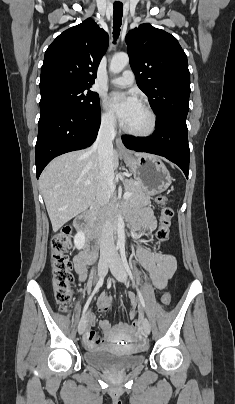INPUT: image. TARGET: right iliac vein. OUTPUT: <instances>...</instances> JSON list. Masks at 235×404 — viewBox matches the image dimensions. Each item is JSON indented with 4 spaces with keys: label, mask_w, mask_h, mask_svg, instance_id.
Wrapping results in <instances>:
<instances>
[{
    "label": "right iliac vein",
    "mask_w": 235,
    "mask_h": 404,
    "mask_svg": "<svg viewBox=\"0 0 235 404\" xmlns=\"http://www.w3.org/2000/svg\"><path fill=\"white\" fill-rule=\"evenodd\" d=\"M108 261H109V258L107 257V258H104V259L99 263V265H98V275H99L100 277L103 276V275L106 273ZM85 326H86V320H85V318H84V319H81V321H80V323H79V325H78V332H79V334H82V333L84 332Z\"/></svg>",
    "instance_id": "63e3f726"
}]
</instances>
